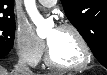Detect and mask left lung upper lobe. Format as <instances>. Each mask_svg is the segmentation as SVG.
<instances>
[{"label": "left lung upper lobe", "mask_w": 107, "mask_h": 75, "mask_svg": "<svg viewBox=\"0 0 107 75\" xmlns=\"http://www.w3.org/2000/svg\"><path fill=\"white\" fill-rule=\"evenodd\" d=\"M67 18L93 54L103 47L107 63V0H61ZM107 68V65H104Z\"/></svg>", "instance_id": "obj_1"}]
</instances>
